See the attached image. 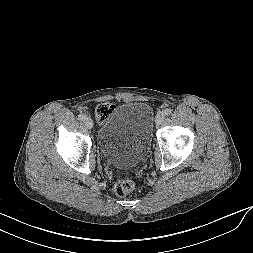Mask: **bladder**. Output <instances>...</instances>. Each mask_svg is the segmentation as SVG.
Returning <instances> with one entry per match:
<instances>
[{"mask_svg":"<svg viewBox=\"0 0 253 253\" xmlns=\"http://www.w3.org/2000/svg\"><path fill=\"white\" fill-rule=\"evenodd\" d=\"M154 112L145 102H124L101 124L98 145L104 159L118 168H131L147 154Z\"/></svg>","mask_w":253,"mask_h":253,"instance_id":"bladder-1","label":"bladder"}]
</instances>
